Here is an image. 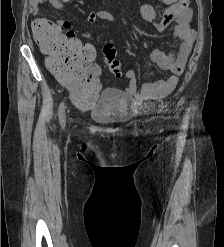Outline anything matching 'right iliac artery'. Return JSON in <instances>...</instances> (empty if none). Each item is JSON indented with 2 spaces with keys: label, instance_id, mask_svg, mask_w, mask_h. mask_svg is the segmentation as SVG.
Returning a JSON list of instances; mask_svg holds the SVG:
<instances>
[{
  "label": "right iliac artery",
  "instance_id": "obj_1",
  "mask_svg": "<svg viewBox=\"0 0 224 247\" xmlns=\"http://www.w3.org/2000/svg\"><path fill=\"white\" fill-rule=\"evenodd\" d=\"M58 115H59V121H60L61 127L64 128L65 127V123H66L65 105H64V103L60 104L59 110H58Z\"/></svg>",
  "mask_w": 224,
  "mask_h": 247
}]
</instances>
